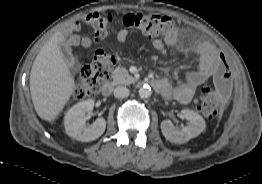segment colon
I'll list each match as a JSON object with an SVG mask.
<instances>
[{"instance_id": "1", "label": "colon", "mask_w": 262, "mask_h": 184, "mask_svg": "<svg viewBox=\"0 0 262 184\" xmlns=\"http://www.w3.org/2000/svg\"><path fill=\"white\" fill-rule=\"evenodd\" d=\"M83 22L90 25L97 41L103 40L113 24L141 33L150 38L165 37L174 31L171 18L154 13H130L123 16H113L107 12H94L85 15ZM214 81L205 85L199 95V110L208 117L219 115L220 108L227 99L231 87V74L223 56ZM115 57L101 49L97 50L90 64L80 73V79L74 89V97L83 99L98 94L103 83L110 77Z\"/></svg>"}]
</instances>
